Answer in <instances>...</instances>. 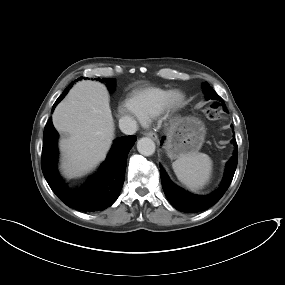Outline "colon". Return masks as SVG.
Returning a JSON list of instances; mask_svg holds the SVG:
<instances>
[{"mask_svg":"<svg viewBox=\"0 0 285 285\" xmlns=\"http://www.w3.org/2000/svg\"><path fill=\"white\" fill-rule=\"evenodd\" d=\"M205 113H206L207 117L210 118V119H212V120H217V119H219V113H218V111L216 110V108L213 107V106H208V107H206Z\"/></svg>","mask_w":285,"mask_h":285,"instance_id":"obj_1","label":"colon"}]
</instances>
